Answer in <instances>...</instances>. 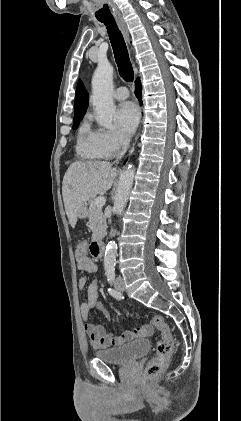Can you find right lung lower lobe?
I'll use <instances>...</instances> for the list:
<instances>
[{
  "label": "right lung lower lobe",
  "mask_w": 241,
  "mask_h": 421,
  "mask_svg": "<svg viewBox=\"0 0 241 421\" xmlns=\"http://www.w3.org/2000/svg\"><path fill=\"white\" fill-rule=\"evenodd\" d=\"M135 94H136V97L141 102L142 101V99H141L142 98V86H141V82H140L139 78H137L136 81H135Z\"/></svg>",
  "instance_id": "98d812e1"
}]
</instances>
